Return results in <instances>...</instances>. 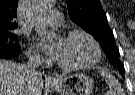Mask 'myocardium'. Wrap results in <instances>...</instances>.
<instances>
[{"label": "myocardium", "mask_w": 135, "mask_h": 95, "mask_svg": "<svg viewBox=\"0 0 135 95\" xmlns=\"http://www.w3.org/2000/svg\"><path fill=\"white\" fill-rule=\"evenodd\" d=\"M74 36H83L90 41L95 52L93 59L86 63L77 64V65H67L57 61L58 66L65 70H82L96 65L101 60L102 57V51L98 41L90 33L84 30H72L64 34V38H69Z\"/></svg>", "instance_id": "obj_1"}]
</instances>
